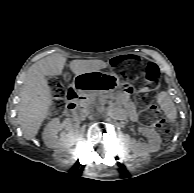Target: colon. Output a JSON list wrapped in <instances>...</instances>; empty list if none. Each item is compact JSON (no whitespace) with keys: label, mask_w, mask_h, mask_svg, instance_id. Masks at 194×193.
<instances>
[{"label":"colon","mask_w":194,"mask_h":193,"mask_svg":"<svg viewBox=\"0 0 194 193\" xmlns=\"http://www.w3.org/2000/svg\"><path fill=\"white\" fill-rule=\"evenodd\" d=\"M143 66L141 80L144 83V89L140 96V104L144 109V121L147 124L156 126L164 138L171 135V127L168 121L162 117L160 110L152 103L151 93L159 83V70L156 64L147 62L142 63L133 57H118L112 61V66L118 70L123 79L135 78L140 66ZM52 93L55 98V104L61 105L65 91L62 85L56 81L51 84Z\"/></svg>","instance_id":"colon-1"}]
</instances>
